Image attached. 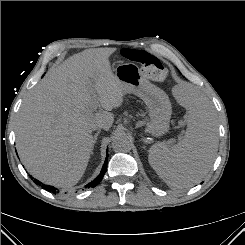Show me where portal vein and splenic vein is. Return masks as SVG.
Segmentation results:
<instances>
[{"label": "portal vein and splenic vein", "instance_id": "18ae733b", "mask_svg": "<svg viewBox=\"0 0 245 245\" xmlns=\"http://www.w3.org/2000/svg\"><path fill=\"white\" fill-rule=\"evenodd\" d=\"M98 106H99V101L98 100H94V102H93L94 109H97Z\"/></svg>", "mask_w": 245, "mask_h": 245}]
</instances>
